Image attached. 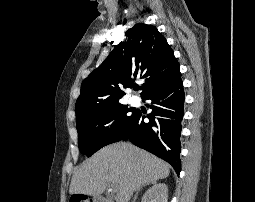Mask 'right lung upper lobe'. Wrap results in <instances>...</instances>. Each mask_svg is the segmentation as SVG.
<instances>
[{
    "label": "right lung upper lobe",
    "mask_w": 255,
    "mask_h": 202,
    "mask_svg": "<svg viewBox=\"0 0 255 202\" xmlns=\"http://www.w3.org/2000/svg\"><path fill=\"white\" fill-rule=\"evenodd\" d=\"M104 62L81 85L76 102V119L91 111L119 103L122 88L144 79L141 97L177 81L181 77L173 50L156 27L138 23L126 31Z\"/></svg>",
    "instance_id": "obj_1"
}]
</instances>
